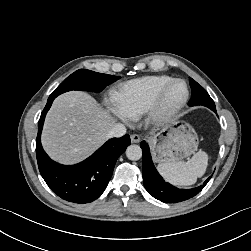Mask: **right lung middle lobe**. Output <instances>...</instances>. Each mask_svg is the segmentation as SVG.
I'll use <instances>...</instances> for the list:
<instances>
[{
	"label": "right lung middle lobe",
	"instance_id": "dd1d6c3e",
	"mask_svg": "<svg viewBox=\"0 0 251 251\" xmlns=\"http://www.w3.org/2000/svg\"><path fill=\"white\" fill-rule=\"evenodd\" d=\"M120 77L97 73L87 69H79L68 76L51 95L56 97L71 90H85L101 92L107 85L118 80Z\"/></svg>",
	"mask_w": 251,
	"mask_h": 251
}]
</instances>
